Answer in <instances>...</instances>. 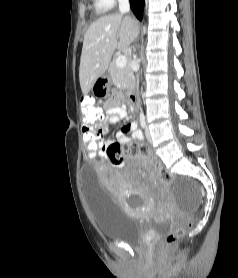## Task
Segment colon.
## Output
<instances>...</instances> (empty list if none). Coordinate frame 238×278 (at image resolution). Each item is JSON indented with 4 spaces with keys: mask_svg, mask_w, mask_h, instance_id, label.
<instances>
[{
    "mask_svg": "<svg viewBox=\"0 0 238 278\" xmlns=\"http://www.w3.org/2000/svg\"><path fill=\"white\" fill-rule=\"evenodd\" d=\"M80 131H84V159H99L98 153H103V113L93 97H85L81 100ZM107 155L114 165L120 164L128 156L139 157L157 169L163 183H169L173 179L172 174L146 145L130 143L126 147H122L113 143L108 147ZM191 226L190 215L180 212L177 224L166 234L161 248L166 250L175 245L184 237Z\"/></svg>",
    "mask_w": 238,
    "mask_h": 278,
    "instance_id": "5ec220e1",
    "label": "colon"
}]
</instances>
